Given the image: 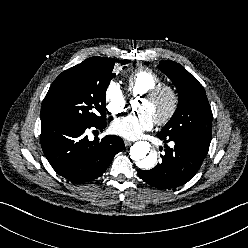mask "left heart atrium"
Here are the masks:
<instances>
[{
    "label": "left heart atrium",
    "mask_w": 248,
    "mask_h": 248,
    "mask_svg": "<svg viewBox=\"0 0 248 248\" xmlns=\"http://www.w3.org/2000/svg\"><path fill=\"white\" fill-rule=\"evenodd\" d=\"M155 120L147 112L138 115H128L116 119L111 124V131L123 138L135 140L141 137L143 132L152 129Z\"/></svg>",
    "instance_id": "obj_1"
}]
</instances>
